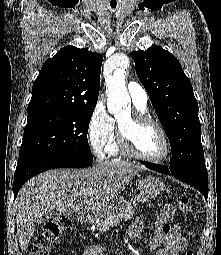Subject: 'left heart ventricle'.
I'll return each instance as SVG.
<instances>
[{
  "mask_svg": "<svg viewBox=\"0 0 221 255\" xmlns=\"http://www.w3.org/2000/svg\"><path fill=\"white\" fill-rule=\"evenodd\" d=\"M129 116L121 119L123 126L128 124ZM137 150L148 158H158L164 153V141L160 132L153 126L146 125L133 130Z\"/></svg>",
  "mask_w": 221,
  "mask_h": 255,
  "instance_id": "1",
  "label": "left heart ventricle"
}]
</instances>
